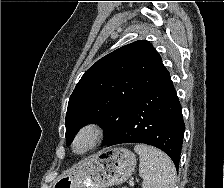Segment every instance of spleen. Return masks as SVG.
<instances>
[{
	"label": "spleen",
	"instance_id": "1",
	"mask_svg": "<svg viewBox=\"0 0 224 188\" xmlns=\"http://www.w3.org/2000/svg\"><path fill=\"white\" fill-rule=\"evenodd\" d=\"M134 150L139 155L143 188H175L176 169L165 153L145 144H136Z\"/></svg>",
	"mask_w": 224,
	"mask_h": 188
}]
</instances>
